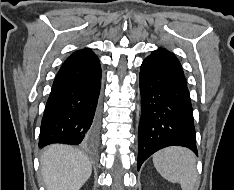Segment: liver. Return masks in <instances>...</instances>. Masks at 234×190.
<instances>
[{"label": "liver", "instance_id": "6515ba94", "mask_svg": "<svg viewBox=\"0 0 234 190\" xmlns=\"http://www.w3.org/2000/svg\"><path fill=\"white\" fill-rule=\"evenodd\" d=\"M40 160L47 190H79L92 173L88 157L70 146L46 147Z\"/></svg>", "mask_w": 234, "mask_h": 190}]
</instances>
